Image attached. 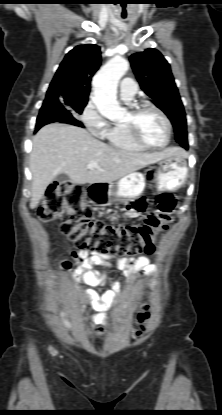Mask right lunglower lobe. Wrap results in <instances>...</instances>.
I'll return each mask as SVG.
<instances>
[{
	"mask_svg": "<svg viewBox=\"0 0 222 415\" xmlns=\"http://www.w3.org/2000/svg\"><path fill=\"white\" fill-rule=\"evenodd\" d=\"M53 122L70 123L76 126L84 127L82 123L77 121L61 104H56L51 107L42 106L37 118L35 131L40 129L42 126Z\"/></svg>",
	"mask_w": 222,
	"mask_h": 415,
	"instance_id": "98d812e1",
	"label": "right lung lower lobe"
}]
</instances>
